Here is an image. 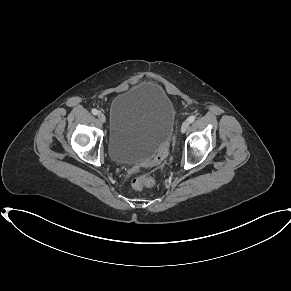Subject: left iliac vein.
<instances>
[{
  "instance_id": "left-iliac-vein-1",
  "label": "left iliac vein",
  "mask_w": 291,
  "mask_h": 291,
  "mask_svg": "<svg viewBox=\"0 0 291 291\" xmlns=\"http://www.w3.org/2000/svg\"><path fill=\"white\" fill-rule=\"evenodd\" d=\"M189 124L190 122L188 120L184 121L182 123V126H181V132L184 133L187 131L188 127H189Z\"/></svg>"
}]
</instances>
